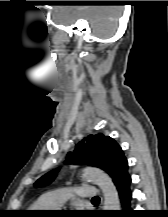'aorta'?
Returning a JSON list of instances; mask_svg holds the SVG:
<instances>
[{"mask_svg":"<svg viewBox=\"0 0 168 217\" xmlns=\"http://www.w3.org/2000/svg\"><path fill=\"white\" fill-rule=\"evenodd\" d=\"M85 178L99 186L103 192L104 210H120V200L112 179L98 168H86Z\"/></svg>","mask_w":168,"mask_h":217,"instance_id":"obj_1","label":"aorta"}]
</instances>
